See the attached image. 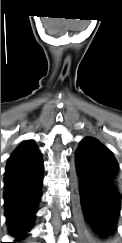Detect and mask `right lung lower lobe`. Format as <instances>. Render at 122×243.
I'll use <instances>...</instances> for the list:
<instances>
[{"label": "right lung lower lobe", "mask_w": 122, "mask_h": 243, "mask_svg": "<svg viewBox=\"0 0 122 243\" xmlns=\"http://www.w3.org/2000/svg\"><path fill=\"white\" fill-rule=\"evenodd\" d=\"M43 165L4 182L5 216L10 235L23 239L34 225L41 198Z\"/></svg>", "instance_id": "1"}]
</instances>
